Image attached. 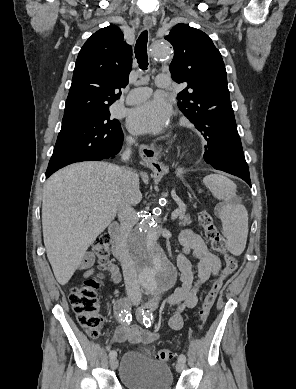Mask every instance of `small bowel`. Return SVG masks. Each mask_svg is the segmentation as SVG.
Masks as SVG:
<instances>
[{
    "mask_svg": "<svg viewBox=\"0 0 296 389\" xmlns=\"http://www.w3.org/2000/svg\"><path fill=\"white\" fill-rule=\"evenodd\" d=\"M180 242L183 250L177 257V266L180 271L181 285L166 298L167 304L178 307L177 312L169 319V326L173 330L182 328V312L197 306L207 283L218 274L221 267L219 258L208 250L205 242L197 233L189 229L184 230L180 235ZM189 254L197 259L196 276L188 258ZM94 261L95 258L91 252H87L80 260L78 269L84 271V277L94 274ZM105 268L109 271L113 283L119 284L121 273L117 266L109 263ZM156 338L157 334L148 329L124 323L116 329L113 342L121 343L127 340L131 343H149Z\"/></svg>",
    "mask_w": 296,
    "mask_h": 389,
    "instance_id": "c3829d8e",
    "label": "small bowel"
}]
</instances>
